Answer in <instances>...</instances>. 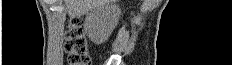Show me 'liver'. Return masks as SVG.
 <instances>
[{"label": "liver", "mask_w": 232, "mask_h": 65, "mask_svg": "<svg viewBox=\"0 0 232 65\" xmlns=\"http://www.w3.org/2000/svg\"><path fill=\"white\" fill-rule=\"evenodd\" d=\"M117 0H64L68 14L71 17H80L93 8L105 4L115 3Z\"/></svg>", "instance_id": "1"}]
</instances>
